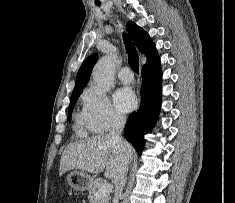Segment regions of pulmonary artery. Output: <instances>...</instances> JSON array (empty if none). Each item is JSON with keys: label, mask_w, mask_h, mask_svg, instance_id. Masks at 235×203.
<instances>
[{"label": "pulmonary artery", "mask_w": 235, "mask_h": 203, "mask_svg": "<svg viewBox=\"0 0 235 203\" xmlns=\"http://www.w3.org/2000/svg\"><path fill=\"white\" fill-rule=\"evenodd\" d=\"M118 78L123 83H131L133 81V74L128 67H124L119 71Z\"/></svg>", "instance_id": "obj_1"}]
</instances>
